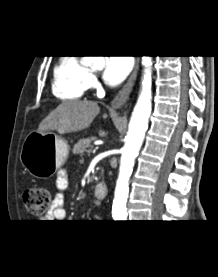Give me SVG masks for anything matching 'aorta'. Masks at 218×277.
<instances>
[{
	"label": "aorta",
	"instance_id": "762f6f07",
	"mask_svg": "<svg viewBox=\"0 0 218 277\" xmlns=\"http://www.w3.org/2000/svg\"><path fill=\"white\" fill-rule=\"evenodd\" d=\"M89 61L94 66L104 64L103 56H90ZM142 65L144 73L141 90L129 122L125 145L122 149L119 176L112 206L114 220H125L127 218L126 202L129 192V179L133 171L135 158L142 146L152 110V57L143 56Z\"/></svg>",
	"mask_w": 218,
	"mask_h": 277
}]
</instances>
